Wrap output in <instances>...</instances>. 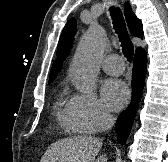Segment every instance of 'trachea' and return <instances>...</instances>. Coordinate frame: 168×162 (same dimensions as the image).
I'll return each instance as SVG.
<instances>
[{
    "mask_svg": "<svg viewBox=\"0 0 168 162\" xmlns=\"http://www.w3.org/2000/svg\"><path fill=\"white\" fill-rule=\"evenodd\" d=\"M110 12L113 20L114 29L118 34L119 40L121 42L122 52L127 60L131 62L133 58L134 47L129 38L123 14L119 8L114 7L110 8Z\"/></svg>",
    "mask_w": 168,
    "mask_h": 162,
    "instance_id": "obj_1",
    "label": "trachea"
}]
</instances>
